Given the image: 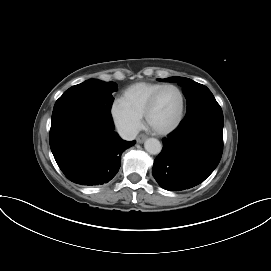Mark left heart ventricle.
<instances>
[{"label":"left heart ventricle","instance_id":"obj_1","mask_svg":"<svg viewBox=\"0 0 271 271\" xmlns=\"http://www.w3.org/2000/svg\"><path fill=\"white\" fill-rule=\"evenodd\" d=\"M180 95L169 88L162 92L150 115V125L156 129H164L170 126L178 117L180 110Z\"/></svg>","mask_w":271,"mask_h":271}]
</instances>
